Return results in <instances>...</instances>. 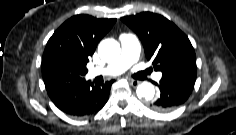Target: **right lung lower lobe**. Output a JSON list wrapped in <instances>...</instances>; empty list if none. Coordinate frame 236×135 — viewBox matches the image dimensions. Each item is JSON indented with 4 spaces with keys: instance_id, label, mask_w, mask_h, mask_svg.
Returning <instances> with one entry per match:
<instances>
[{
    "instance_id": "right-lung-lower-lobe-1",
    "label": "right lung lower lobe",
    "mask_w": 236,
    "mask_h": 135,
    "mask_svg": "<svg viewBox=\"0 0 236 135\" xmlns=\"http://www.w3.org/2000/svg\"><path fill=\"white\" fill-rule=\"evenodd\" d=\"M47 93L64 113L82 117L97 113L107 102L114 80L90 84L84 76L56 69H42Z\"/></svg>"
}]
</instances>
